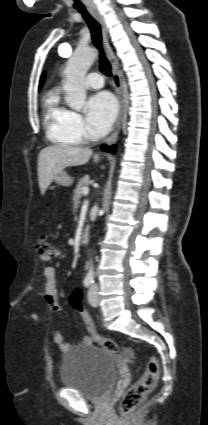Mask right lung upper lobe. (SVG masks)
I'll return each mask as SVG.
<instances>
[{"label": "right lung upper lobe", "mask_w": 208, "mask_h": 425, "mask_svg": "<svg viewBox=\"0 0 208 425\" xmlns=\"http://www.w3.org/2000/svg\"><path fill=\"white\" fill-rule=\"evenodd\" d=\"M43 81H44V75L42 76V78H41V83H43Z\"/></svg>", "instance_id": "1"}]
</instances>
